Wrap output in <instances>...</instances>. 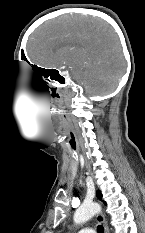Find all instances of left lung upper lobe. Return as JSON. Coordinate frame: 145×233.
Masks as SVG:
<instances>
[{
	"mask_svg": "<svg viewBox=\"0 0 145 233\" xmlns=\"http://www.w3.org/2000/svg\"><path fill=\"white\" fill-rule=\"evenodd\" d=\"M97 196L101 199L102 198V194L100 191H97ZM105 203V202H104Z\"/></svg>",
	"mask_w": 145,
	"mask_h": 233,
	"instance_id": "obj_1",
	"label": "left lung upper lobe"
}]
</instances>
